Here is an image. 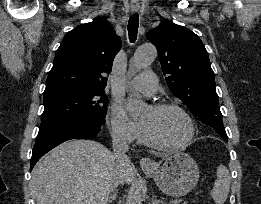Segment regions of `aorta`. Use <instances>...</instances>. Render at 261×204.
<instances>
[{
	"mask_svg": "<svg viewBox=\"0 0 261 204\" xmlns=\"http://www.w3.org/2000/svg\"><path fill=\"white\" fill-rule=\"evenodd\" d=\"M157 55L156 48L152 44L141 45L137 48L131 60V65L137 70L148 67ZM146 104L133 96L128 97L127 111L132 118H138L143 115ZM128 204H142L141 188L136 186L129 194Z\"/></svg>",
	"mask_w": 261,
	"mask_h": 204,
	"instance_id": "aorta-1",
	"label": "aorta"
}]
</instances>
